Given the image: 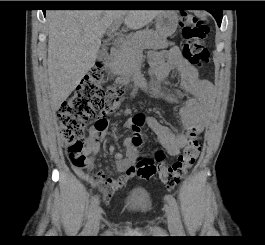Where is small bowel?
<instances>
[{"label": "small bowel", "mask_w": 265, "mask_h": 245, "mask_svg": "<svg viewBox=\"0 0 265 245\" xmlns=\"http://www.w3.org/2000/svg\"><path fill=\"white\" fill-rule=\"evenodd\" d=\"M150 73L154 82L147 88L148 93L155 98L168 101H178L177 95L164 93L163 88L169 85V77L176 71L180 77L181 87L189 95L182 101L178 110V117L183 131L176 134L156 117H147L149 127L157 134L161 145L171 156H177L187 144L191 133L201 132L206 123L200 119V112L207 106L213 86L210 82L199 77L198 70L183 59L178 47H171L163 51H152L148 55ZM129 111V107L126 108ZM131 120L125 121L124 126L131 128ZM106 136V126L90 129L85 141L84 155L86 163L83 167H75V173L85 182L101 189L107 197L112 196L134 177L132 164L137 158L138 151L132 143V138L123 140L125 155L109 148L115 159L116 169L122 174L116 178H108L104 172H95L94 157L99 152L100 142Z\"/></svg>", "instance_id": "obj_1"}]
</instances>
